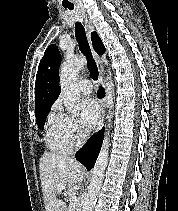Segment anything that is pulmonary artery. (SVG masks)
Here are the masks:
<instances>
[{
    "mask_svg": "<svg viewBox=\"0 0 178 211\" xmlns=\"http://www.w3.org/2000/svg\"><path fill=\"white\" fill-rule=\"evenodd\" d=\"M79 90L83 93V94H90L92 91V84L91 81L89 79H82L79 82Z\"/></svg>",
    "mask_w": 178,
    "mask_h": 211,
    "instance_id": "obj_1",
    "label": "pulmonary artery"
}]
</instances>
